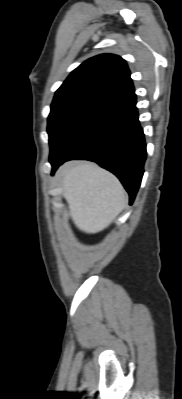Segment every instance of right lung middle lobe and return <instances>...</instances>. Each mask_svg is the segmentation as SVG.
I'll use <instances>...</instances> for the list:
<instances>
[{"instance_id":"dd1d6c3e","label":"right lung middle lobe","mask_w":182,"mask_h":399,"mask_svg":"<svg viewBox=\"0 0 182 399\" xmlns=\"http://www.w3.org/2000/svg\"><path fill=\"white\" fill-rule=\"evenodd\" d=\"M105 103L103 100L86 95L54 97L47 129L50 148L78 121L101 108Z\"/></svg>"}]
</instances>
